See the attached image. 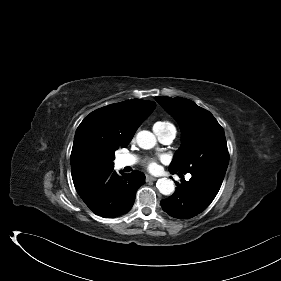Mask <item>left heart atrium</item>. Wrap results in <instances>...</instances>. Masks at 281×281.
<instances>
[{"mask_svg": "<svg viewBox=\"0 0 281 281\" xmlns=\"http://www.w3.org/2000/svg\"><path fill=\"white\" fill-rule=\"evenodd\" d=\"M147 168L152 171V172H155L158 170V164L155 160H149L147 162Z\"/></svg>", "mask_w": 281, "mask_h": 281, "instance_id": "obj_1", "label": "left heart atrium"}]
</instances>
